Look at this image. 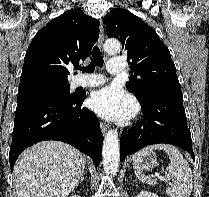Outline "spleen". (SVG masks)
I'll list each match as a JSON object with an SVG mask.
<instances>
[{
    "mask_svg": "<svg viewBox=\"0 0 209 197\" xmlns=\"http://www.w3.org/2000/svg\"><path fill=\"white\" fill-rule=\"evenodd\" d=\"M153 150H164L170 159V163L165 170V175L172 180V185L166 189V194L169 197H190L193 189L192 170L187 160L173 145L154 144L137 152L134 155L133 169L138 179L152 186L157 184L154 179L143 174L139 166L140 159Z\"/></svg>",
    "mask_w": 209,
    "mask_h": 197,
    "instance_id": "1",
    "label": "spleen"
}]
</instances>
